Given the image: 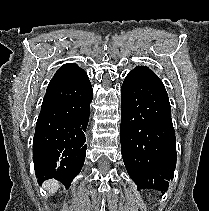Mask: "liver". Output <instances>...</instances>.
<instances>
[{
  "label": "liver",
  "mask_w": 209,
  "mask_h": 211,
  "mask_svg": "<svg viewBox=\"0 0 209 211\" xmlns=\"http://www.w3.org/2000/svg\"><path fill=\"white\" fill-rule=\"evenodd\" d=\"M59 183L55 180H48L43 184V187L48 190L50 194L55 193L59 189Z\"/></svg>",
  "instance_id": "6515ba94"
}]
</instances>
